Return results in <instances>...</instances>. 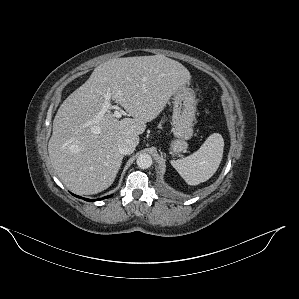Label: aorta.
Wrapping results in <instances>:
<instances>
[{"label": "aorta", "instance_id": "aorta-1", "mask_svg": "<svg viewBox=\"0 0 299 299\" xmlns=\"http://www.w3.org/2000/svg\"><path fill=\"white\" fill-rule=\"evenodd\" d=\"M137 165L141 169H148L152 165V158L149 154H140L137 158Z\"/></svg>", "mask_w": 299, "mask_h": 299}]
</instances>
